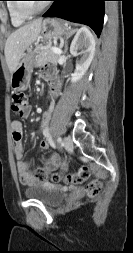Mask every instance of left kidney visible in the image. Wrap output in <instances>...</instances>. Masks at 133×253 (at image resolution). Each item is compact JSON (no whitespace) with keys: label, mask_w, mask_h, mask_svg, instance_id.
<instances>
[{"label":"left kidney","mask_w":133,"mask_h":253,"mask_svg":"<svg viewBox=\"0 0 133 253\" xmlns=\"http://www.w3.org/2000/svg\"><path fill=\"white\" fill-rule=\"evenodd\" d=\"M95 38L86 27L80 28L70 46V53L73 56L81 55V58L76 61V69L72 74L71 82L79 81L88 70L95 54ZM81 50L80 53L78 51Z\"/></svg>","instance_id":"obj_1"}]
</instances>
